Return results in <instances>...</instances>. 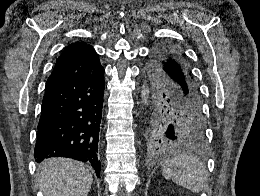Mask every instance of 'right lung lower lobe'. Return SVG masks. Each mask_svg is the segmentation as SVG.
<instances>
[{"label": "right lung lower lobe", "instance_id": "right-lung-lower-lobe-1", "mask_svg": "<svg viewBox=\"0 0 260 196\" xmlns=\"http://www.w3.org/2000/svg\"><path fill=\"white\" fill-rule=\"evenodd\" d=\"M104 71L45 91L34 157H68L89 162L100 175L98 141Z\"/></svg>", "mask_w": 260, "mask_h": 196}]
</instances>
